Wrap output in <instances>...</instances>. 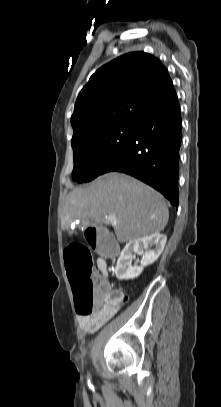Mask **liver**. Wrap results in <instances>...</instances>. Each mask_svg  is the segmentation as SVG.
<instances>
[{
  "mask_svg": "<svg viewBox=\"0 0 221 407\" xmlns=\"http://www.w3.org/2000/svg\"><path fill=\"white\" fill-rule=\"evenodd\" d=\"M114 215L116 222L106 218ZM169 211L161 194L128 175L111 172L66 198L61 224L75 220L85 225H112L119 242L159 233L168 223Z\"/></svg>",
  "mask_w": 221,
  "mask_h": 407,
  "instance_id": "1",
  "label": "liver"
}]
</instances>
